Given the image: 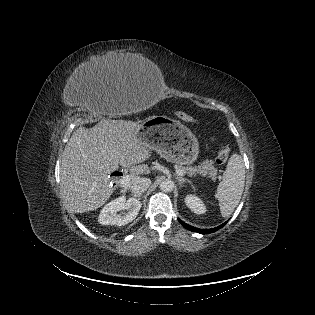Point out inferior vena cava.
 <instances>
[{
	"label": "inferior vena cava",
	"mask_w": 315,
	"mask_h": 315,
	"mask_svg": "<svg viewBox=\"0 0 315 315\" xmlns=\"http://www.w3.org/2000/svg\"><path fill=\"white\" fill-rule=\"evenodd\" d=\"M150 184L151 180L149 178L139 177L132 182L130 190L134 194H142L148 189Z\"/></svg>",
	"instance_id": "inferior-vena-cava-1"
}]
</instances>
